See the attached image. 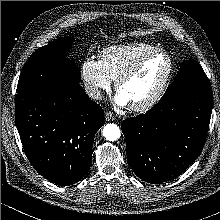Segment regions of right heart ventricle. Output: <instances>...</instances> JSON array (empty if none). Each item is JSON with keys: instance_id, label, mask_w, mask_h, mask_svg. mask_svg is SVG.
Wrapping results in <instances>:
<instances>
[{"instance_id": "e07e8e85", "label": "right heart ventricle", "mask_w": 220, "mask_h": 220, "mask_svg": "<svg viewBox=\"0 0 220 220\" xmlns=\"http://www.w3.org/2000/svg\"><path fill=\"white\" fill-rule=\"evenodd\" d=\"M156 48L144 42L112 45L101 51L99 61L109 77L115 80L142 55Z\"/></svg>"}]
</instances>
